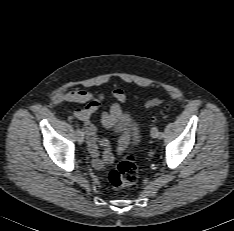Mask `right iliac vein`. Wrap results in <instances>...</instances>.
Instances as JSON below:
<instances>
[{
  "label": "right iliac vein",
  "mask_w": 234,
  "mask_h": 231,
  "mask_svg": "<svg viewBox=\"0 0 234 231\" xmlns=\"http://www.w3.org/2000/svg\"><path fill=\"white\" fill-rule=\"evenodd\" d=\"M77 141L79 144H82L84 142V136H77Z\"/></svg>",
  "instance_id": "right-iliac-vein-1"
}]
</instances>
